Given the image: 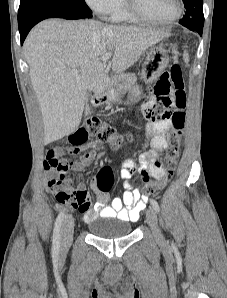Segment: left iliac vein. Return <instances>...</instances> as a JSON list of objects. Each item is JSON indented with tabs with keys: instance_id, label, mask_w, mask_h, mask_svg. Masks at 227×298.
Here are the masks:
<instances>
[{
	"instance_id": "1",
	"label": "left iliac vein",
	"mask_w": 227,
	"mask_h": 298,
	"mask_svg": "<svg viewBox=\"0 0 227 298\" xmlns=\"http://www.w3.org/2000/svg\"><path fill=\"white\" fill-rule=\"evenodd\" d=\"M146 219H147V223L149 224V226L153 232V235H154V238L156 239V241L162 242L163 236H162L161 231L158 227L157 215H156V212L152 208L147 210Z\"/></svg>"
}]
</instances>
